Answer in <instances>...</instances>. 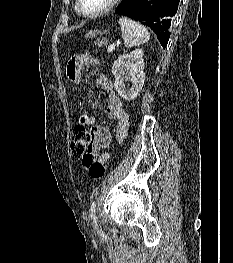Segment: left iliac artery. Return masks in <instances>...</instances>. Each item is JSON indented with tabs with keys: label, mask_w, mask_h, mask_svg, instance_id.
<instances>
[{
	"label": "left iliac artery",
	"mask_w": 233,
	"mask_h": 263,
	"mask_svg": "<svg viewBox=\"0 0 233 263\" xmlns=\"http://www.w3.org/2000/svg\"><path fill=\"white\" fill-rule=\"evenodd\" d=\"M90 218L92 219L95 227L97 228L98 227V224H97V216H96V202L93 201L91 206H90Z\"/></svg>",
	"instance_id": "1"
}]
</instances>
